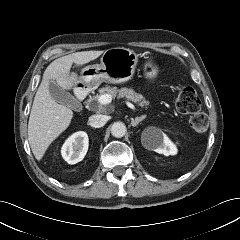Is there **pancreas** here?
<instances>
[{
  "label": "pancreas",
  "instance_id": "1",
  "mask_svg": "<svg viewBox=\"0 0 240 240\" xmlns=\"http://www.w3.org/2000/svg\"><path fill=\"white\" fill-rule=\"evenodd\" d=\"M99 94L93 99H98L99 96L104 94L111 95L112 98H127L128 100L139 104L141 107H147L149 102L144 98L143 95L136 93L133 89L128 88H121L117 89L116 87H105L99 89Z\"/></svg>",
  "mask_w": 240,
  "mask_h": 240
}]
</instances>
